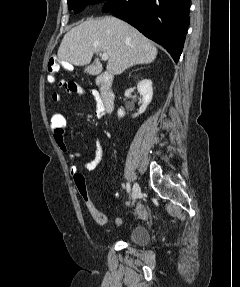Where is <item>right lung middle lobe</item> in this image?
Here are the masks:
<instances>
[{"label":"right lung middle lobe","instance_id":"obj_1","mask_svg":"<svg viewBox=\"0 0 240 287\" xmlns=\"http://www.w3.org/2000/svg\"><path fill=\"white\" fill-rule=\"evenodd\" d=\"M69 9H73L76 13L82 11L89 4L105 2L106 0H67Z\"/></svg>","mask_w":240,"mask_h":287}]
</instances>
